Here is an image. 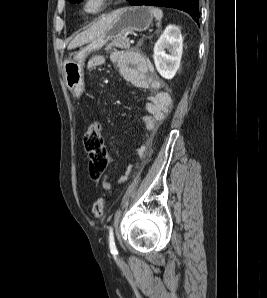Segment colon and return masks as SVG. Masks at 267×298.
I'll return each instance as SVG.
<instances>
[{"label": "colon", "mask_w": 267, "mask_h": 298, "mask_svg": "<svg viewBox=\"0 0 267 298\" xmlns=\"http://www.w3.org/2000/svg\"><path fill=\"white\" fill-rule=\"evenodd\" d=\"M84 146L88 155L89 172L93 180H99L108 164V154L102 139L100 126L92 121L84 134ZM106 211V203L103 198L97 199L92 207L95 217L101 218Z\"/></svg>", "instance_id": "obj_1"}]
</instances>
